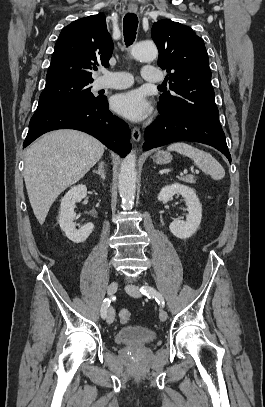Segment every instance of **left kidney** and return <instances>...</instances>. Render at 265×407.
Returning <instances> with one entry per match:
<instances>
[{
    "mask_svg": "<svg viewBox=\"0 0 265 407\" xmlns=\"http://www.w3.org/2000/svg\"><path fill=\"white\" fill-rule=\"evenodd\" d=\"M175 194H180L184 198L188 215L186 221L174 220L170 224L169 229L177 238L187 239L197 231V228L200 225L202 218V205L192 188L179 183L163 187L158 194V200L165 204Z\"/></svg>",
    "mask_w": 265,
    "mask_h": 407,
    "instance_id": "obj_1",
    "label": "left kidney"
}]
</instances>
